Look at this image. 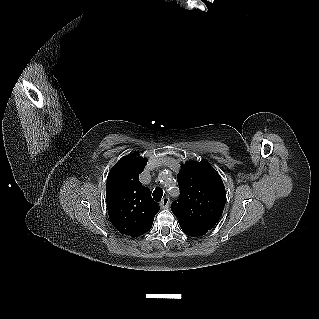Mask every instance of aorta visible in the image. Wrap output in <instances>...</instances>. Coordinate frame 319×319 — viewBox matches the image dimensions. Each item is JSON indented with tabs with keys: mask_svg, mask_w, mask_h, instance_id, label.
Masks as SVG:
<instances>
[{
	"mask_svg": "<svg viewBox=\"0 0 319 319\" xmlns=\"http://www.w3.org/2000/svg\"><path fill=\"white\" fill-rule=\"evenodd\" d=\"M160 179L163 181V182H166L167 179H170L169 175H167V177L164 179L163 177H160Z\"/></svg>",
	"mask_w": 319,
	"mask_h": 319,
	"instance_id": "aorta-1",
	"label": "aorta"
}]
</instances>
